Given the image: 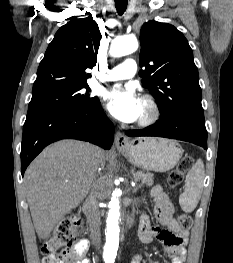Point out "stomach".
<instances>
[{"label":"stomach","mask_w":233,"mask_h":263,"mask_svg":"<svg viewBox=\"0 0 233 263\" xmlns=\"http://www.w3.org/2000/svg\"><path fill=\"white\" fill-rule=\"evenodd\" d=\"M119 151L134 165L150 171L165 172L176 166L183 149L175 141L163 138H137Z\"/></svg>","instance_id":"obj_1"}]
</instances>
